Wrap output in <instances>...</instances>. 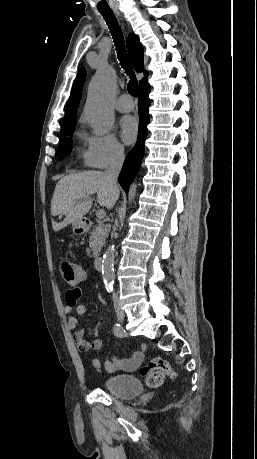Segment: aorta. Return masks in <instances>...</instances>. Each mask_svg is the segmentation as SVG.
Masks as SVG:
<instances>
[{
  "instance_id": "762f6f07",
  "label": "aorta",
  "mask_w": 257,
  "mask_h": 459,
  "mask_svg": "<svg viewBox=\"0 0 257 459\" xmlns=\"http://www.w3.org/2000/svg\"><path fill=\"white\" fill-rule=\"evenodd\" d=\"M116 73L109 66H101L89 84L86 118L96 135L106 134L114 123L112 100L116 92ZM136 184L130 186L128 200L136 195ZM115 246L110 245L102 259L103 282L107 292L113 290Z\"/></svg>"
}]
</instances>
